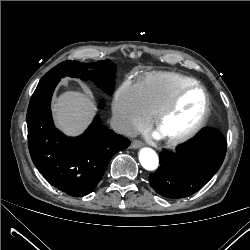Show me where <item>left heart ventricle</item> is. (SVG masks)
<instances>
[{
    "mask_svg": "<svg viewBox=\"0 0 250 250\" xmlns=\"http://www.w3.org/2000/svg\"><path fill=\"white\" fill-rule=\"evenodd\" d=\"M202 110V93L199 90L188 91L159 126L157 134L161 137H170L188 130L200 117Z\"/></svg>",
    "mask_w": 250,
    "mask_h": 250,
    "instance_id": "1",
    "label": "left heart ventricle"
}]
</instances>
